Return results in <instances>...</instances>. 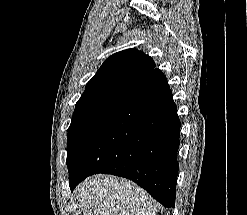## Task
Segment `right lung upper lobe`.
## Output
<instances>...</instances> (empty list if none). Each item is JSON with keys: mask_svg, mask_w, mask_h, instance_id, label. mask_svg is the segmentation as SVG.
Returning a JSON list of instances; mask_svg holds the SVG:
<instances>
[{"mask_svg": "<svg viewBox=\"0 0 247 215\" xmlns=\"http://www.w3.org/2000/svg\"><path fill=\"white\" fill-rule=\"evenodd\" d=\"M155 69L153 59L136 49H127L110 56L87 83L85 92L130 89Z\"/></svg>", "mask_w": 247, "mask_h": 215, "instance_id": "1", "label": "right lung upper lobe"}]
</instances>
